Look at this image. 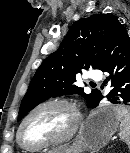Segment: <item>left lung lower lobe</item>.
Returning a JSON list of instances; mask_svg holds the SVG:
<instances>
[{"instance_id": "left-lung-lower-lobe-1", "label": "left lung lower lobe", "mask_w": 130, "mask_h": 153, "mask_svg": "<svg viewBox=\"0 0 130 153\" xmlns=\"http://www.w3.org/2000/svg\"><path fill=\"white\" fill-rule=\"evenodd\" d=\"M100 70L107 73L106 81H111L108 100L114 104L130 105V38L126 30L121 31L112 42ZM101 99L102 94L91 107L96 108Z\"/></svg>"}]
</instances>
